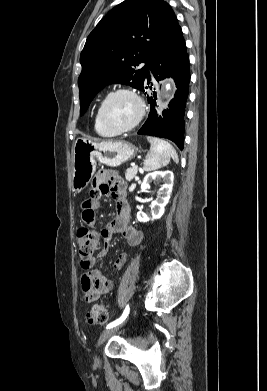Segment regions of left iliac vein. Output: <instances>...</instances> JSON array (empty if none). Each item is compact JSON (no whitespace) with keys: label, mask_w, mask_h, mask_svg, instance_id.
<instances>
[{"label":"left iliac vein","mask_w":267,"mask_h":391,"mask_svg":"<svg viewBox=\"0 0 267 391\" xmlns=\"http://www.w3.org/2000/svg\"><path fill=\"white\" fill-rule=\"evenodd\" d=\"M128 320L125 319L122 323L112 327V328H109L107 330H105L99 337V340H98V343H97V346L101 345L103 342H105L113 333H115L120 327H122L126 321ZM95 365L98 366L100 365V360L98 357H95Z\"/></svg>","instance_id":"4c4485c4"}]
</instances>
